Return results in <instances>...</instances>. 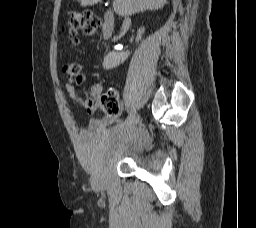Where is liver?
Listing matches in <instances>:
<instances>
[{
    "mask_svg": "<svg viewBox=\"0 0 256 228\" xmlns=\"http://www.w3.org/2000/svg\"><path fill=\"white\" fill-rule=\"evenodd\" d=\"M81 6H89L100 0H77ZM167 0H114L113 9L121 16L133 15L146 10H158L163 8Z\"/></svg>",
    "mask_w": 256,
    "mask_h": 228,
    "instance_id": "6515ba94",
    "label": "liver"
}]
</instances>
